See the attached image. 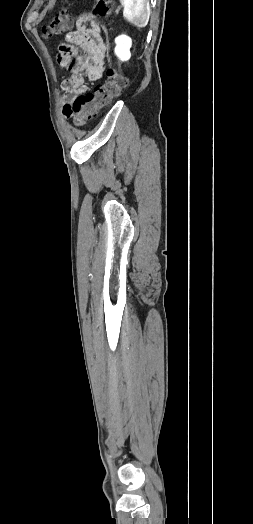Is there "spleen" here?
<instances>
[{
    "label": "spleen",
    "instance_id": "spleen-1",
    "mask_svg": "<svg viewBox=\"0 0 253 524\" xmlns=\"http://www.w3.org/2000/svg\"><path fill=\"white\" fill-rule=\"evenodd\" d=\"M124 7V18L138 28L147 25L150 17V8L147 0H120Z\"/></svg>",
    "mask_w": 253,
    "mask_h": 524
}]
</instances>
